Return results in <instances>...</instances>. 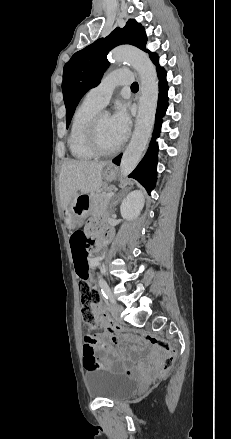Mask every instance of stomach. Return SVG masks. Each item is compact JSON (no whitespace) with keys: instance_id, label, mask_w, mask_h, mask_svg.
<instances>
[{"instance_id":"obj_1","label":"stomach","mask_w":231,"mask_h":439,"mask_svg":"<svg viewBox=\"0 0 231 439\" xmlns=\"http://www.w3.org/2000/svg\"><path fill=\"white\" fill-rule=\"evenodd\" d=\"M103 177L107 181H112L116 177V169L113 165H107L103 171ZM92 195H77L63 210L64 221L69 230H76L82 224L87 209L91 205Z\"/></svg>"}]
</instances>
